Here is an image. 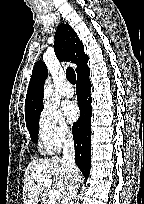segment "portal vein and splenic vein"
<instances>
[{"instance_id":"18ae733b","label":"portal vein and splenic vein","mask_w":144,"mask_h":204,"mask_svg":"<svg viewBox=\"0 0 144 204\" xmlns=\"http://www.w3.org/2000/svg\"><path fill=\"white\" fill-rule=\"evenodd\" d=\"M36 182H43L46 187H50L52 185L51 179L39 175L35 177ZM60 198V193L56 190H50L48 192V204H54Z\"/></svg>"}]
</instances>
